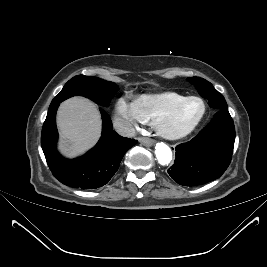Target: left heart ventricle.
<instances>
[{
	"instance_id": "1",
	"label": "left heart ventricle",
	"mask_w": 267,
	"mask_h": 267,
	"mask_svg": "<svg viewBox=\"0 0 267 267\" xmlns=\"http://www.w3.org/2000/svg\"><path fill=\"white\" fill-rule=\"evenodd\" d=\"M202 108L199 100L188 101L167 124V127L172 131H181L189 127L200 116Z\"/></svg>"
}]
</instances>
